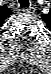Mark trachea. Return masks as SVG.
Returning a JSON list of instances; mask_svg holds the SVG:
<instances>
[{
    "instance_id": "trachea-1",
    "label": "trachea",
    "mask_w": 51,
    "mask_h": 74,
    "mask_svg": "<svg viewBox=\"0 0 51 74\" xmlns=\"http://www.w3.org/2000/svg\"><path fill=\"white\" fill-rule=\"evenodd\" d=\"M20 3V7H28L29 6V2L28 0H19Z\"/></svg>"
}]
</instances>
